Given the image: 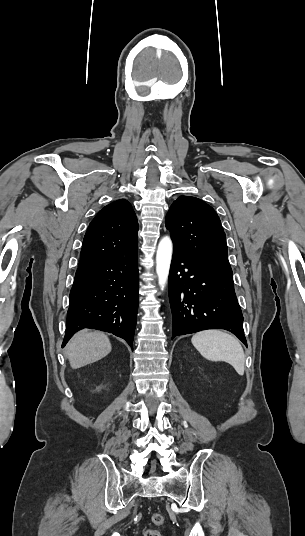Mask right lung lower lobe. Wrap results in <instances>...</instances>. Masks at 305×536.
Instances as JSON below:
<instances>
[{"instance_id": "98d812e1", "label": "right lung lower lobe", "mask_w": 305, "mask_h": 536, "mask_svg": "<svg viewBox=\"0 0 305 536\" xmlns=\"http://www.w3.org/2000/svg\"><path fill=\"white\" fill-rule=\"evenodd\" d=\"M138 291L137 251L78 267L62 346L75 332L87 327L112 333L132 347Z\"/></svg>"}]
</instances>
